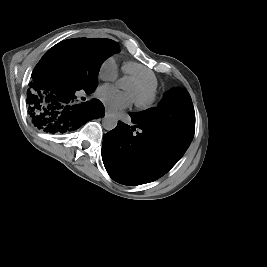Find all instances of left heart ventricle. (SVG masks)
<instances>
[{
	"mask_svg": "<svg viewBox=\"0 0 267 267\" xmlns=\"http://www.w3.org/2000/svg\"><path fill=\"white\" fill-rule=\"evenodd\" d=\"M128 91L131 93L132 96H135L139 93V90L137 89V87L133 83L129 84Z\"/></svg>",
	"mask_w": 267,
	"mask_h": 267,
	"instance_id": "obj_1",
	"label": "left heart ventricle"
}]
</instances>
